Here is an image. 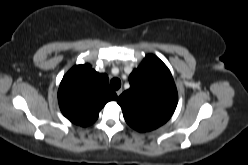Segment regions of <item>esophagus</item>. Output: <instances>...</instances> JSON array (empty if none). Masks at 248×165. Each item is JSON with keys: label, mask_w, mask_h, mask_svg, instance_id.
I'll return each instance as SVG.
<instances>
[{"label": "esophagus", "mask_w": 248, "mask_h": 165, "mask_svg": "<svg viewBox=\"0 0 248 165\" xmlns=\"http://www.w3.org/2000/svg\"><path fill=\"white\" fill-rule=\"evenodd\" d=\"M122 92H123L122 89H118V90L116 91L117 96L119 97V96L122 94Z\"/></svg>", "instance_id": "34e87169"}]
</instances>
